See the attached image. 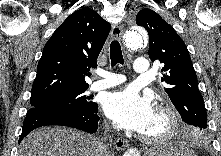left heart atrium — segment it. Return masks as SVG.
Returning a JSON list of instances; mask_svg holds the SVG:
<instances>
[{
	"instance_id": "1",
	"label": "left heart atrium",
	"mask_w": 221,
	"mask_h": 156,
	"mask_svg": "<svg viewBox=\"0 0 221 156\" xmlns=\"http://www.w3.org/2000/svg\"><path fill=\"white\" fill-rule=\"evenodd\" d=\"M103 108L118 126L139 133L145 132L155 115L150 97L134 87L108 94Z\"/></svg>"
}]
</instances>
